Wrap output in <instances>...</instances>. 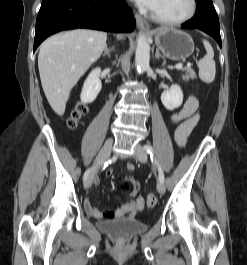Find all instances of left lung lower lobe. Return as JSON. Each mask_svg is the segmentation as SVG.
Returning <instances> with one entry per match:
<instances>
[{
	"label": "left lung lower lobe",
	"mask_w": 247,
	"mask_h": 265,
	"mask_svg": "<svg viewBox=\"0 0 247 265\" xmlns=\"http://www.w3.org/2000/svg\"><path fill=\"white\" fill-rule=\"evenodd\" d=\"M197 9L194 17L182 24V28L200 29L211 35L221 47L220 27L212 0H196Z\"/></svg>",
	"instance_id": "0a47b994"
}]
</instances>
